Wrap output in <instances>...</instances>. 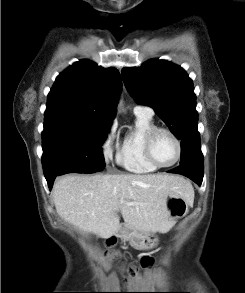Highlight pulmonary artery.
<instances>
[{
  "label": "pulmonary artery",
  "mask_w": 245,
  "mask_h": 293,
  "mask_svg": "<svg viewBox=\"0 0 245 293\" xmlns=\"http://www.w3.org/2000/svg\"><path fill=\"white\" fill-rule=\"evenodd\" d=\"M134 113L153 114V110L148 106L137 105L134 108Z\"/></svg>",
  "instance_id": "e3ab8cb5"
}]
</instances>
